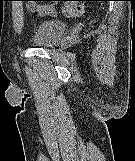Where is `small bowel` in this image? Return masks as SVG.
Instances as JSON below:
<instances>
[{"instance_id": "obj_1", "label": "small bowel", "mask_w": 135, "mask_h": 161, "mask_svg": "<svg viewBox=\"0 0 135 161\" xmlns=\"http://www.w3.org/2000/svg\"><path fill=\"white\" fill-rule=\"evenodd\" d=\"M40 12H51V13H53L54 9L53 8H49V7H45L43 9H41Z\"/></svg>"}]
</instances>
